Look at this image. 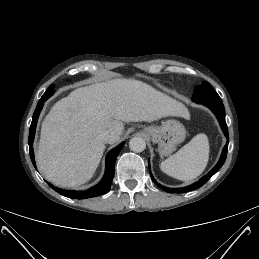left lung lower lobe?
Here are the masks:
<instances>
[{"label": "left lung lower lobe", "instance_id": "0a47b994", "mask_svg": "<svg viewBox=\"0 0 259 259\" xmlns=\"http://www.w3.org/2000/svg\"><path fill=\"white\" fill-rule=\"evenodd\" d=\"M198 104H203L207 107H209L213 113L216 115L221 128L223 130V132L225 133V136L227 138V144L224 146L221 157L218 161V163L215 165V167L205 176H203L201 179H199V181L185 187V188H167L164 187L162 185H160L159 183H157L154 179V177L152 176V173L150 172V176L151 179L154 183H156L158 185V187H161L162 190H165L169 193H182L185 191H191L197 188H200L202 185H204L210 178L212 175H214L218 169L224 164L225 160H226V156H227V151H228V140H229V134H228V129H227V125L225 122V109L223 106L222 101L220 102H203V103H198ZM150 166V165H149Z\"/></svg>", "mask_w": 259, "mask_h": 259}]
</instances>
